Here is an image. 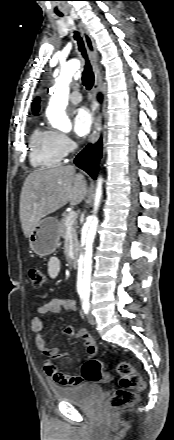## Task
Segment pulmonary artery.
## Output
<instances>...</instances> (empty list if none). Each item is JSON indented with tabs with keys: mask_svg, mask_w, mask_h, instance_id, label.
I'll return each instance as SVG.
<instances>
[{
	"mask_svg": "<svg viewBox=\"0 0 174 440\" xmlns=\"http://www.w3.org/2000/svg\"><path fill=\"white\" fill-rule=\"evenodd\" d=\"M69 100L73 104H78L82 101V95L79 91H73L69 96Z\"/></svg>",
	"mask_w": 174,
	"mask_h": 440,
	"instance_id": "obj_1",
	"label": "pulmonary artery"
}]
</instances>
